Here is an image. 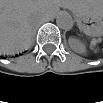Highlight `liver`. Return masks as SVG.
<instances>
[{
    "label": "liver",
    "mask_w": 103,
    "mask_h": 103,
    "mask_svg": "<svg viewBox=\"0 0 103 103\" xmlns=\"http://www.w3.org/2000/svg\"><path fill=\"white\" fill-rule=\"evenodd\" d=\"M71 0H2L0 3L1 53L27 49L32 41L33 22L53 18L60 7L72 9Z\"/></svg>",
    "instance_id": "obj_1"
}]
</instances>
